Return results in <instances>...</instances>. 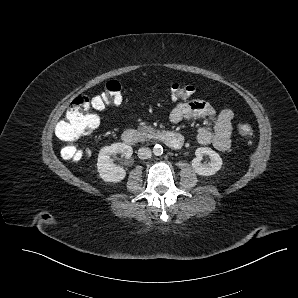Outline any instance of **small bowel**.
I'll list each match as a JSON object with an SVG mask.
<instances>
[{
  "label": "small bowel",
  "instance_id": "1",
  "mask_svg": "<svg viewBox=\"0 0 298 298\" xmlns=\"http://www.w3.org/2000/svg\"><path fill=\"white\" fill-rule=\"evenodd\" d=\"M234 113L229 108L216 111L207 101L195 99L177 104L170 112L172 123L191 118H205L207 125L196 132L197 141L202 145H213L217 150L225 152L232 144V121Z\"/></svg>",
  "mask_w": 298,
  "mask_h": 298
}]
</instances>
